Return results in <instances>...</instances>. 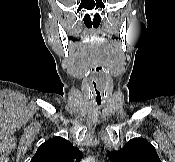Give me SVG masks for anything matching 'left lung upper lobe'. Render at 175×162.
Masks as SVG:
<instances>
[{"mask_svg": "<svg viewBox=\"0 0 175 162\" xmlns=\"http://www.w3.org/2000/svg\"><path fill=\"white\" fill-rule=\"evenodd\" d=\"M112 162H161L156 149L143 138H133L119 151H107Z\"/></svg>", "mask_w": 175, "mask_h": 162, "instance_id": "5c2ea615", "label": "left lung upper lobe"}]
</instances>
